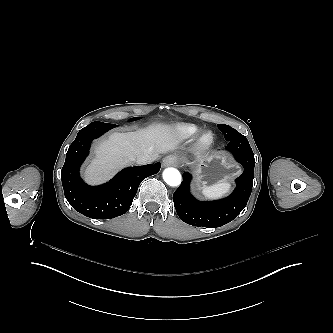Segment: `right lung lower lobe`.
Listing matches in <instances>:
<instances>
[{
  "label": "right lung lower lobe",
  "mask_w": 333,
  "mask_h": 333,
  "mask_svg": "<svg viewBox=\"0 0 333 333\" xmlns=\"http://www.w3.org/2000/svg\"><path fill=\"white\" fill-rule=\"evenodd\" d=\"M114 124L92 122L81 129L69 146L61 171L64 194L69 204L81 214L96 219L114 218L124 214L132 204L139 184L160 170V163L129 167L100 186H88L79 176V167L89 153L91 142Z\"/></svg>",
  "instance_id": "right-lung-lower-lobe-1"
}]
</instances>
